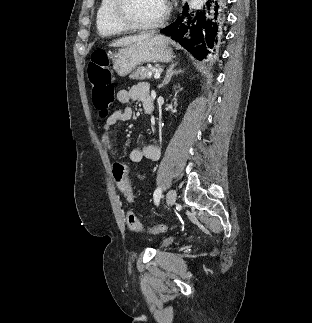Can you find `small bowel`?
<instances>
[{"instance_id": "c3829d8e", "label": "small bowel", "mask_w": 312, "mask_h": 323, "mask_svg": "<svg viewBox=\"0 0 312 323\" xmlns=\"http://www.w3.org/2000/svg\"><path fill=\"white\" fill-rule=\"evenodd\" d=\"M150 92V86L146 82H138L128 89H120L117 92V101L121 104L130 102L144 101V96ZM133 109L129 106H124L114 111L105 121L102 127V143L107 149L109 156H115L111 134L113 129L121 124L132 119ZM130 161L134 163L141 162L144 159L149 161H157L160 158V149L154 145H146L142 147L133 148L129 155ZM117 164V163H116ZM120 164V163H119Z\"/></svg>"}]
</instances>
